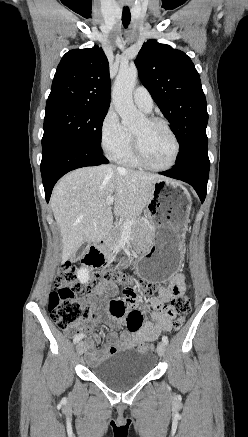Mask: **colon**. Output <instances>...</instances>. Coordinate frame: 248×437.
<instances>
[{
  "label": "colon",
  "mask_w": 248,
  "mask_h": 437,
  "mask_svg": "<svg viewBox=\"0 0 248 437\" xmlns=\"http://www.w3.org/2000/svg\"><path fill=\"white\" fill-rule=\"evenodd\" d=\"M92 268L94 279H116L127 286V289L136 293L141 292L146 296H153L157 286H146L140 279L131 278L123 273H115L104 265L103 256L97 257L90 262H85ZM88 293L77 279L76 267L70 262L65 263L56 274L53 290L50 292L48 310L52 321L61 329L71 328L90 319V310L85 300ZM191 310V302L188 296L183 294L175 296L169 306L170 315L176 316L173 321V329L178 331L184 324L186 316ZM141 352H151L153 345L143 343L139 346Z\"/></svg>",
  "instance_id": "colon-1"
}]
</instances>
